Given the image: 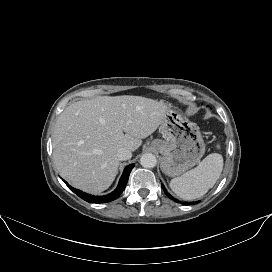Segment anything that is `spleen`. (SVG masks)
<instances>
[{
  "mask_svg": "<svg viewBox=\"0 0 272 272\" xmlns=\"http://www.w3.org/2000/svg\"><path fill=\"white\" fill-rule=\"evenodd\" d=\"M222 169V155L218 153L209 154L196 168L172 179L170 188L181 199L194 200L200 198L213 187Z\"/></svg>",
  "mask_w": 272,
  "mask_h": 272,
  "instance_id": "1",
  "label": "spleen"
}]
</instances>
